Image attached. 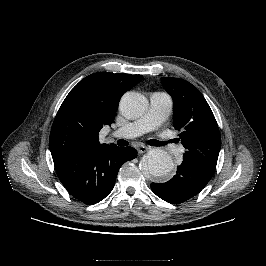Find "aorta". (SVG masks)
Returning a JSON list of instances; mask_svg holds the SVG:
<instances>
[{
    "label": "aorta",
    "mask_w": 266,
    "mask_h": 266,
    "mask_svg": "<svg viewBox=\"0 0 266 266\" xmlns=\"http://www.w3.org/2000/svg\"><path fill=\"white\" fill-rule=\"evenodd\" d=\"M145 96L136 92L125 93L120 101V110L127 118H137L147 110ZM142 171L154 177H162L171 172L174 163L171 156L162 149L150 150L141 163Z\"/></svg>",
    "instance_id": "obj_1"
}]
</instances>
